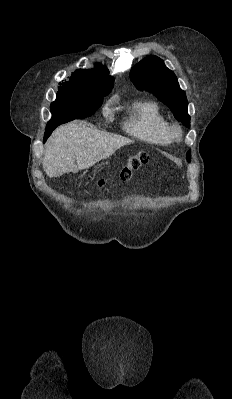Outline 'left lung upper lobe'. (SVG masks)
<instances>
[{"label": "left lung upper lobe", "mask_w": 232, "mask_h": 399, "mask_svg": "<svg viewBox=\"0 0 232 399\" xmlns=\"http://www.w3.org/2000/svg\"><path fill=\"white\" fill-rule=\"evenodd\" d=\"M130 79L136 87L153 93L166 104L175 118L190 128V116L187 113L188 101L185 92L179 87L177 77L157 56H148L130 71ZM191 161V150L186 154Z\"/></svg>", "instance_id": "obj_1"}]
</instances>
